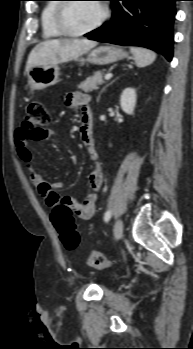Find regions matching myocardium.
Instances as JSON below:
<instances>
[{"label":"myocardium","mask_w":193,"mask_h":349,"mask_svg":"<svg viewBox=\"0 0 193 349\" xmlns=\"http://www.w3.org/2000/svg\"><path fill=\"white\" fill-rule=\"evenodd\" d=\"M65 2H60L57 4L55 11H54V16H53V22L55 28L61 33V35L68 36V37H80L86 34H89L98 28H100L108 19L109 17V9L106 4H102V13L99 19L90 27L80 30V31H73L69 29L65 23V11L67 7L71 4V0H62Z\"/></svg>","instance_id":"obj_1"}]
</instances>
